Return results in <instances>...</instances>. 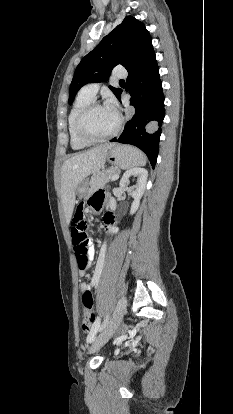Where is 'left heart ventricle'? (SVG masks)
I'll use <instances>...</instances> for the list:
<instances>
[{
  "mask_svg": "<svg viewBox=\"0 0 233 414\" xmlns=\"http://www.w3.org/2000/svg\"><path fill=\"white\" fill-rule=\"evenodd\" d=\"M117 123V114L109 109L99 107L94 109L85 120V129L94 136H103L110 133Z\"/></svg>",
  "mask_w": 233,
  "mask_h": 414,
  "instance_id": "1",
  "label": "left heart ventricle"
}]
</instances>
